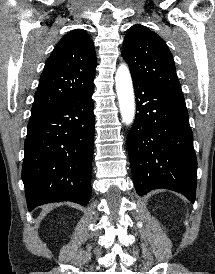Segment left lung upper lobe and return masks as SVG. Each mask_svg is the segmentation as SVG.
Returning <instances> with one entry per match:
<instances>
[{"instance_id": "5c2ea615", "label": "left lung upper lobe", "mask_w": 215, "mask_h": 274, "mask_svg": "<svg viewBox=\"0 0 215 274\" xmlns=\"http://www.w3.org/2000/svg\"><path fill=\"white\" fill-rule=\"evenodd\" d=\"M122 56L129 65L133 80L184 98L173 56L156 33L142 25H133L124 38Z\"/></svg>"}]
</instances>
